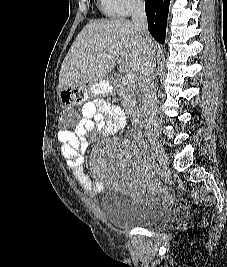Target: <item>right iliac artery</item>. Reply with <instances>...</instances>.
Here are the masks:
<instances>
[{
    "mask_svg": "<svg viewBox=\"0 0 227 267\" xmlns=\"http://www.w3.org/2000/svg\"><path fill=\"white\" fill-rule=\"evenodd\" d=\"M156 154L155 153H151V160H152V162H153V164L155 163V161H156Z\"/></svg>",
    "mask_w": 227,
    "mask_h": 267,
    "instance_id": "82829eb1",
    "label": "right iliac artery"
}]
</instances>
